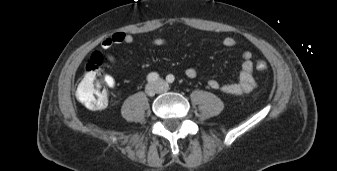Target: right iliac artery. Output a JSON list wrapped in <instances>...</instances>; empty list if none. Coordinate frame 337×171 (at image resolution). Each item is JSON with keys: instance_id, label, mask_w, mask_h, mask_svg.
<instances>
[{"instance_id": "obj_1", "label": "right iliac artery", "mask_w": 337, "mask_h": 171, "mask_svg": "<svg viewBox=\"0 0 337 171\" xmlns=\"http://www.w3.org/2000/svg\"><path fill=\"white\" fill-rule=\"evenodd\" d=\"M159 79V75L156 72H152L147 76L148 82H155Z\"/></svg>"}]
</instances>
